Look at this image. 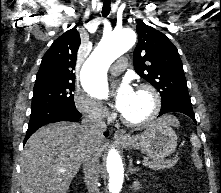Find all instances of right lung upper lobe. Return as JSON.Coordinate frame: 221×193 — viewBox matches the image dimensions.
<instances>
[{
	"mask_svg": "<svg viewBox=\"0 0 221 193\" xmlns=\"http://www.w3.org/2000/svg\"><path fill=\"white\" fill-rule=\"evenodd\" d=\"M80 43L76 27L56 39L42 58L35 84L75 82L73 70Z\"/></svg>",
	"mask_w": 221,
	"mask_h": 193,
	"instance_id": "1",
	"label": "right lung upper lobe"
}]
</instances>
